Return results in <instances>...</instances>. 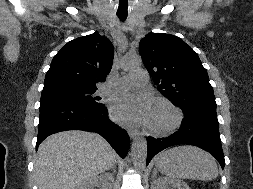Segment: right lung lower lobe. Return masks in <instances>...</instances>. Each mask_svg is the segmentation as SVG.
I'll return each mask as SVG.
<instances>
[{"mask_svg": "<svg viewBox=\"0 0 253 189\" xmlns=\"http://www.w3.org/2000/svg\"><path fill=\"white\" fill-rule=\"evenodd\" d=\"M64 130L97 132L107 139L121 158H125L128 153L129 136L109 120L105 105L88 106L53 101L41 103L36 150L47 136Z\"/></svg>", "mask_w": 253, "mask_h": 189, "instance_id": "obj_1", "label": "right lung lower lobe"}]
</instances>
